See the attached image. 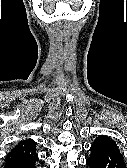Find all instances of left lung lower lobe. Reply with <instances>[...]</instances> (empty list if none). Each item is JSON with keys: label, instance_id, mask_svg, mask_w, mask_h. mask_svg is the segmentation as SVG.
Masks as SVG:
<instances>
[{"label": "left lung lower lobe", "instance_id": "left-lung-lower-lobe-1", "mask_svg": "<svg viewBox=\"0 0 127 168\" xmlns=\"http://www.w3.org/2000/svg\"><path fill=\"white\" fill-rule=\"evenodd\" d=\"M91 155L86 160L90 168H126L123 156L110 138L102 136L94 140Z\"/></svg>", "mask_w": 127, "mask_h": 168}]
</instances>
